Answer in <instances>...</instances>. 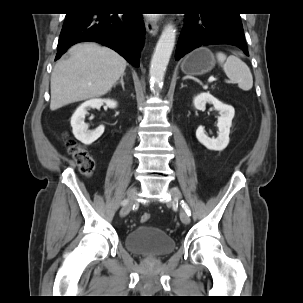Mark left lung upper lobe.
Wrapping results in <instances>:
<instances>
[{"label": "left lung upper lobe", "mask_w": 303, "mask_h": 303, "mask_svg": "<svg viewBox=\"0 0 303 303\" xmlns=\"http://www.w3.org/2000/svg\"><path fill=\"white\" fill-rule=\"evenodd\" d=\"M217 13L222 15V16H231V17L240 18L238 13H230V12H217Z\"/></svg>", "instance_id": "1"}]
</instances>
